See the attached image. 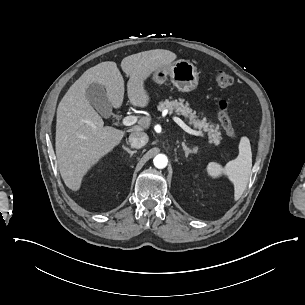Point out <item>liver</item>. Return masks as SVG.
<instances>
[{
  "instance_id": "obj_1",
  "label": "liver",
  "mask_w": 305,
  "mask_h": 305,
  "mask_svg": "<svg viewBox=\"0 0 305 305\" xmlns=\"http://www.w3.org/2000/svg\"><path fill=\"white\" fill-rule=\"evenodd\" d=\"M176 54L164 49L140 52L123 58L121 68L130 78L127 94L133 106L145 107L149 96L144 89L146 80L156 70L169 66ZM105 87L114 108L121 107L124 98V79L115 62L106 61L87 69L66 92L57 109L56 157L65 185L79 190L83 176L92 165L117 146L125 132L104 126L101 116L86 99L91 83ZM150 117H141L130 132L149 128Z\"/></svg>"
}]
</instances>
